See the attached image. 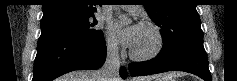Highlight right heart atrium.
<instances>
[{
  "label": "right heart atrium",
  "instance_id": "right-heart-atrium-1",
  "mask_svg": "<svg viewBox=\"0 0 237 81\" xmlns=\"http://www.w3.org/2000/svg\"><path fill=\"white\" fill-rule=\"evenodd\" d=\"M107 52L114 57L119 56L121 52L118 41L111 35L107 38Z\"/></svg>",
  "mask_w": 237,
  "mask_h": 81
}]
</instances>
